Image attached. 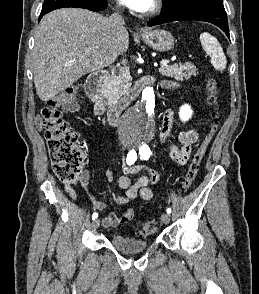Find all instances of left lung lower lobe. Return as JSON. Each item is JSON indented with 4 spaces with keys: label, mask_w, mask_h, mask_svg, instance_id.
<instances>
[{
    "label": "left lung lower lobe",
    "mask_w": 259,
    "mask_h": 294,
    "mask_svg": "<svg viewBox=\"0 0 259 294\" xmlns=\"http://www.w3.org/2000/svg\"><path fill=\"white\" fill-rule=\"evenodd\" d=\"M181 20H197L212 23L221 28L227 37L230 38L227 15L223 3L211 0L199 1L178 10L160 14L150 20L148 26Z\"/></svg>",
    "instance_id": "1"
}]
</instances>
